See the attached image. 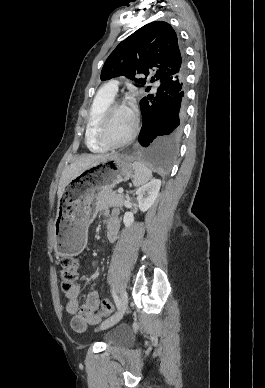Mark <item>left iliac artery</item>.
<instances>
[{
  "instance_id": "44dca946",
  "label": "left iliac artery",
  "mask_w": 265,
  "mask_h": 388,
  "mask_svg": "<svg viewBox=\"0 0 265 388\" xmlns=\"http://www.w3.org/2000/svg\"><path fill=\"white\" fill-rule=\"evenodd\" d=\"M112 295H113V299H114V301H115V304H116L117 308H119V306H120V299H119V297L117 296V294H116L114 288L112 289Z\"/></svg>"
}]
</instances>
